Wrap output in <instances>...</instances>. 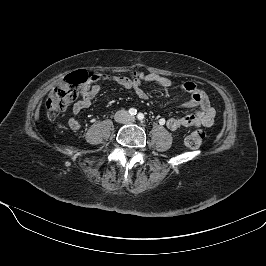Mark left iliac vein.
I'll list each match as a JSON object with an SVG mask.
<instances>
[{
    "label": "left iliac vein",
    "mask_w": 266,
    "mask_h": 266,
    "mask_svg": "<svg viewBox=\"0 0 266 266\" xmlns=\"http://www.w3.org/2000/svg\"><path fill=\"white\" fill-rule=\"evenodd\" d=\"M130 119H131V121H134V117H131Z\"/></svg>",
    "instance_id": "4c4485c4"
}]
</instances>
